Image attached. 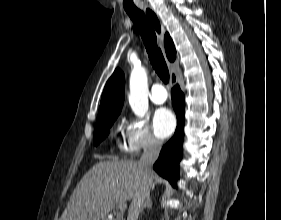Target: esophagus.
I'll use <instances>...</instances> for the list:
<instances>
[{
	"mask_svg": "<svg viewBox=\"0 0 281 220\" xmlns=\"http://www.w3.org/2000/svg\"><path fill=\"white\" fill-rule=\"evenodd\" d=\"M143 11H144V14H145L147 20L153 27L160 45L163 46L165 29H164V26L161 23L158 15L153 11L152 8H150L148 6L143 7ZM168 65L170 67V83H171V86H175L177 83V77H176V74L172 70V64L169 62Z\"/></svg>",
	"mask_w": 281,
	"mask_h": 220,
	"instance_id": "1",
	"label": "esophagus"
}]
</instances>
